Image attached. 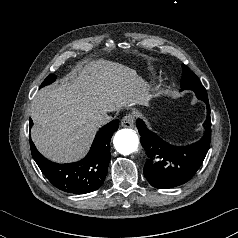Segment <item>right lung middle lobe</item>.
Instances as JSON below:
<instances>
[{"label":"right lung middle lobe","instance_id":"dd1d6c3e","mask_svg":"<svg viewBox=\"0 0 238 238\" xmlns=\"http://www.w3.org/2000/svg\"><path fill=\"white\" fill-rule=\"evenodd\" d=\"M56 79L55 75L54 74H50L44 81L43 83L41 84V87H44L48 84H51L52 82H54Z\"/></svg>","mask_w":238,"mask_h":238}]
</instances>
